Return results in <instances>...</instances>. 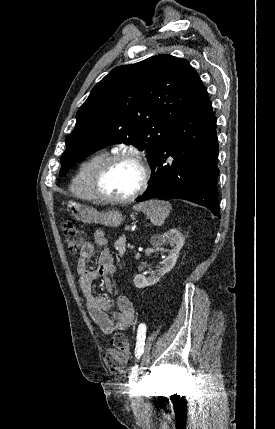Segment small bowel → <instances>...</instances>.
Listing matches in <instances>:
<instances>
[{
	"mask_svg": "<svg viewBox=\"0 0 275 429\" xmlns=\"http://www.w3.org/2000/svg\"><path fill=\"white\" fill-rule=\"evenodd\" d=\"M105 244L104 232L96 230L93 240L83 245L76 269L89 315L105 334H110L114 330H125L131 327L135 323L136 314L134 304L127 296H118L116 298L117 310L112 311V300L96 294L93 289V281L100 277L104 280L108 291L113 292L111 277L115 273V265ZM96 247H101L98 266L90 269L87 262L94 255Z\"/></svg>",
	"mask_w": 275,
	"mask_h": 429,
	"instance_id": "obj_1",
	"label": "small bowel"
}]
</instances>
